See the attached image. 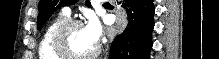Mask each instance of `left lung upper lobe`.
I'll use <instances>...</instances> for the list:
<instances>
[{
    "label": "left lung upper lobe",
    "instance_id": "5c2ea615",
    "mask_svg": "<svg viewBox=\"0 0 219 59\" xmlns=\"http://www.w3.org/2000/svg\"><path fill=\"white\" fill-rule=\"evenodd\" d=\"M76 1L77 0H40L37 29H40L45 24L54 11L63 6L74 4ZM85 4L88 7L91 6L89 1H86Z\"/></svg>",
    "mask_w": 219,
    "mask_h": 59
}]
</instances>
